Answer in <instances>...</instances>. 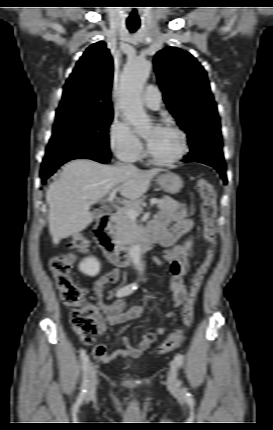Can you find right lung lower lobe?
Masks as SVG:
<instances>
[{
    "mask_svg": "<svg viewBox=\"0 0 273 430\" xmlns=\"http://www.w3.org/2000/svg\"><path fill=\"white\" fill-rule=\"evenodd\" d=\"M79 158L92 159L100 163H107L110 161V152L109 153H106V152L80 153V154L70 155V156L58 159L49 164L42 165L41 174H40L42 182L45 183L46 179L49 176H51L56 171V169L62 164H64L65 162L73 159H79Z\"/></svg>",
    "mask_w": 273,
    "mask_h": 430,
    "instance_id": "obj_1",
    "label": "right lung lower lobe"
}]
</instances>
